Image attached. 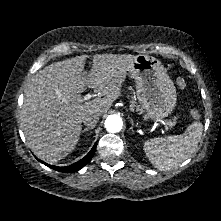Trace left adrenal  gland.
I'll use <instances>...</instances> for the list:
<instances>
[{
    "instance_id": "1",
    "label": "left adrenal gland",
    "mask_w": 221,
    "mask_h": 221,
    "mask_svg": "<svg viewBox=\"0 0 221 221\" xmlns=\"http://www.w3.org/2000/svg\"><path fill=\"white\" fill-rule=\"evenodd\" d=\"M131 124H132V126L130 127V131L132 132V134H134V130H133V126H134V123H133V120L131 119Z\"/></svg>"
}]
</instances>
